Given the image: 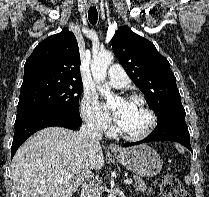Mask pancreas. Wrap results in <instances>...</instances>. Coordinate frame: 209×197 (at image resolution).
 Instances as JSON below:
<instances>
[{
    "mask_svg": "<svg viewBox=\"0 0 209 197\" xmlns=\"http://www.w3.org/2000/svg\"><path fill=\"white\" fill-rule=\"evenodd\" d=\"M134 181H135L134 188L136 190L141 191V192H146L149 194L152 192V188H147V186L142 178L135 177Z\"/></svg>",
    "mask_w": 209,
    "mask_h": 197,
    "instance_id": "pancreas-1",
    "label": "pancreas"
}]
</instances>
